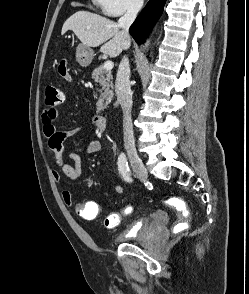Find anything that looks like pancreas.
Masks as SVG:
<instances>
[{"mask_svg": "<svg viewBox=\"0 0 249 294\" xmlns=\"http://www.w3.org/2000/svg\"><path fill=\"white\" fill-rule=\"evenodd\" d=\"M92 79L99 83L101 89H97L100 97L96 103L97 112L104 110L113 98V78L110 70H106L103 65L98 66L92 73ZM97 96V95H96Z\"/></svg>", "mask_w": 249, "mask_h": 294, "instance_id": "pancreas-1", "label": "pancreas"}]
</instances>
